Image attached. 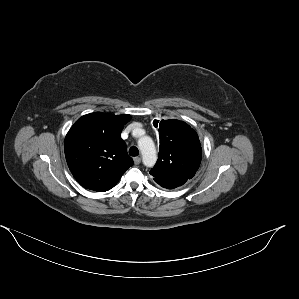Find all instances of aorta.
Listing matches in <instances>:
<instances>
[{
    "label": "aorta",
    "mask_w": 299,
    "mask_h": 299,
    "mask_svg": "<svg viewBox=\"0 0 299 299\" xmlns=\"http://www.w3.org/2000/svg\"><path fill=\"white\" fill-rule=\"evenodd\" d=\"M138 146L142 154L143 164L153 167L157 161L156 148L149 136H143L138 140Z\"/></svg>",
    "instance_id": "762f6f07"
}]
</instances>
